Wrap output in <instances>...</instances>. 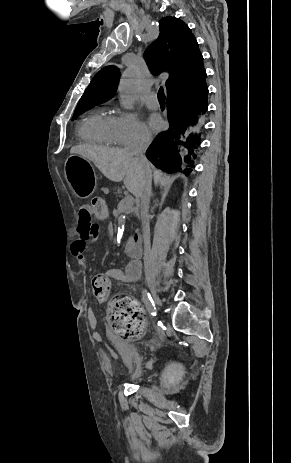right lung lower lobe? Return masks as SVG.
Masks as SVG:
<instances>
[{
    "mask_svg": "<svg viewBox=\"0 0 291 463\" xmlns=\"http://www.w3.org/2000/svg\"><path fill=\"white\" fill-rule=\"evenodd\" d=\"M207 95L206 72L194 90L168 94L169 129L158 135L146 151L147 158L157 168L189 174L195 167L194 159L208 109Z\"/></svg>",
    "mask_w": 291,
    "mask_h": 463,
    "instance_id": "1",
    "label": "right lung lower lobe"
}]
</instances>
